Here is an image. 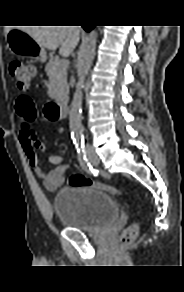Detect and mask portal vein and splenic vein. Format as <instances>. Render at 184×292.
<instances>
[{"label":"portal vein and splenic vein","mask_w":184,"mask_h":292,"mask_svg":"<svg viewBox=\"0 0 184 292\" xmlns=\"http://www.w3.org/2000/svg\"><path fill=\"white\" fill-rule=\"evenodd\" d=\"M62 61V64L64 67H67L68 66V61L67 60H61Z\"/></svg>","instance_id":"portal-vein-and-splenic-vein-1"}]
</instances>
